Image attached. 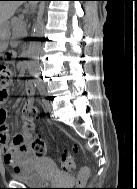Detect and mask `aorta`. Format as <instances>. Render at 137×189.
I'll return each instance as SVG.
<instances>
[{
  "mask_svg": "<svg viewBox=\"0 0 137 189\" xmlns=\"http://www.w3.org/2000/svg\"><path fill=\"white\" fill-rule=\"evenodd\" d=\"M44 14V7H41L40 15L35 26V33L34 35L29 36V50L28 54L29 57L33 60L30 65V75L33 76V82H43L42 73L39 71V62L37 58L39 56V49H40V36H43V32L45 29V23L43 19Z\"/></svg>",
  "mask_w": 137,
  "mask_h": 189,
  "instance_id": "obj_1",
  "label": "aorta"
}]
</instances>
